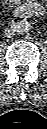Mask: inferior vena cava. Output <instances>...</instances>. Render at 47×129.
I'll return each instance as SVG.
<instances>
[{
    "label": "inferior vena cava",
    "mask_w": 47,
    "mask_h": 129,
    "mask_svg": "<svg viewBox=\"0 0 47 129\" xmlns=\"http://www.w3.org/2000/svg\"><path fill=\"white\" fill-rule=\"evenodd\" d=\"M15 30L12 29H7V31L5 32V36L6 37H12L14 35Z\"/></svg>",
    "instance_id": "inferior-vena-cava-1"
}]
</instances>
